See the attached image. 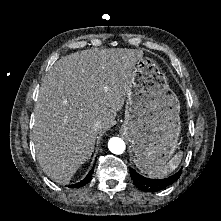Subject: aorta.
Here are the masks:
<instances>
[{"label":"aorta","mask_w":221,"mask_h":221,"mask_svg":"<svg viewBox=\"0 0 221 221\" xmlns=\"http://www.w3.org/2000/svg\"><path fill=\"white\" fill-rule=\"evenodd\" d=\"M109 150L114 154H122L125 151V142L119 137H112L108 142Z\"/></svg>","instance_id":"762f6f07"}]
</instances>
